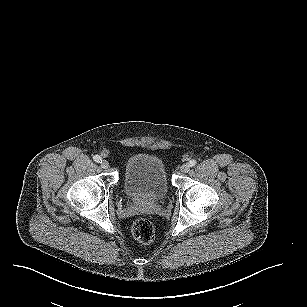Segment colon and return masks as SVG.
Returning a JSON list of instances; mask_svg holds the SVG:
<instances>
[{
    "label": "colon",
    "instance_id": "colon-1",
    "mask_svg": "<svg viewBox=\"0 0 307 307\" xmlns=\"http://www.w3.org/2000/svg\"><path fill=\"white\" fill-rule=\"evenodd\" d=\"M132 235L142 244H151L155 238V229L152 222L145 218L135 220L132 225Z\"/></svg>",
    "mask_w": 307,
    "mask_h": 307
}]
</instances>
